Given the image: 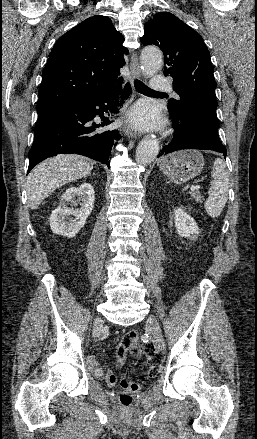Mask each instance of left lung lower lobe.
Masks as SVG:
<instances>
[{"mask_svg":"<svg viewBox=\"0 0 257 439\" xmlns=\"http://www.w3.org/2000/svg\"><path fill=\"white\" fill-rule=\"evenodd\" d=\"M171 119L174 138L162 148L158 157L182 149L212 150L226 157L227 151L218 135V122L200 112L171 114Z\"/></svg>","mask_w":257,"mask_h":439,"instance_id":"1","label":"left lung lower lobe"}]
</instances>
